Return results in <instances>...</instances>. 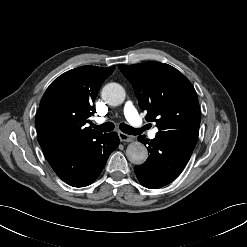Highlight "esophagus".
Masks as SVG:
<instances>
[{"label":"esophagus","instance_id":"obj_1","mask_svg":"<svg viewBox=\"0 0 247 247\" xmlns=\"http://www.w3.org/2000/svg\"><path fill=\"white\" fill-rule=\"evenodd\" d=\"M118 136H119L120 141H122V142H131V141L134 140L133 136L127 135V134H125L123 132H119Z\"/></svg>","mask_w":247,"mask_h":247}]
</instances>
